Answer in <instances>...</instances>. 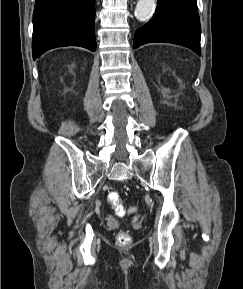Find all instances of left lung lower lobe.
<instances>
[{
    "instance_id": "obj_1",
    "label": "left lung lower lobe",
    "mask_w": 243,
    "mask_h": 289,
    "mask_svg": "<svg viewBox=\"0 0 243 289\" xmlns=\"http://www.w3.org/2000/svg\"><path fill=\"white\" fill-rule=\"evenodd\" d=\"M200 36L197 0H158L153 18L136 31L133 48L166 42L188 47L200 56Z\"/></svg>"
}]
</instances>
